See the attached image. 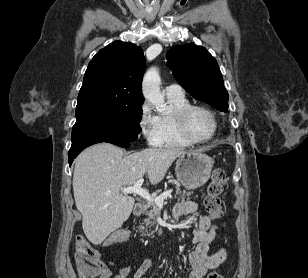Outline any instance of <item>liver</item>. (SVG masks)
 <instances>
[{"label":"liver","instance_id":"1","mask_svg":"<svg viewBox=\"0 0 308 278\" xmlns=\"http://www.w3.org/2000/svg\"><path fill=\"white\" fill-rule=\"evenodd\" d=\"M185 153L181 148H148L125 155L105 142L81 152L75 160L73 192L87 239L101 244L128 219L134 199L120 193L121 188L134 185L145 173L152 185L158 184Z\"/></svg>","mask_w":308,"mask_h":278}]
</instances>
